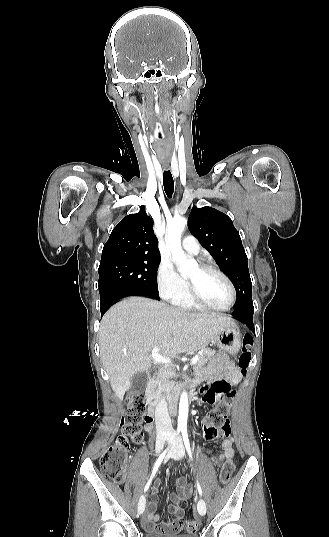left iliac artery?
<instances>
[{
    "instance_id": "obj_1",
    "label": "left iliac artery",
    "mask_w": 329,
    "mask_h": 537,
    "mask_svg": "<svg viewBox=\"0 0 329 537\" xmlns=\"http://www.w3.org/2000/svg\"><path fill=\"white\" fill-rule=\"evenodd\" d=\"M181 431H182V437H183V441H184V444H185V448H186V450L188 452L190 460L193 461V456H192V452H191V448H190V442H189L187 429L183 428ZM196 488H197V491H198L199 495L202 496L203 492H202V489H201V486H200V483H199L198 479L196 480Z\"/></svg>"
}]
</instances>
